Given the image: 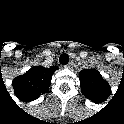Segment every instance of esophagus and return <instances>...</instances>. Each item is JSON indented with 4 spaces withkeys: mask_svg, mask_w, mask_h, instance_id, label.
I'll list each match as a JSON object with an SVG mask.
<instances>
[{
    "mask_svg": "<svg viewBox=\"0 0 124 124\" xmlns=\"http://www.w3.org/2000/svg\"><path fill=\"white\" fill-rule=\"evenodd\" d=\"M65 67L68 68V69H72L74 67V63L69 62L67 65H65Z\"/></svg>",
    "mask_w": 124,
    "mask_h": 124,
    "instance_id": "34e87169",
    "label": "esophagus"
}]
</instances>
